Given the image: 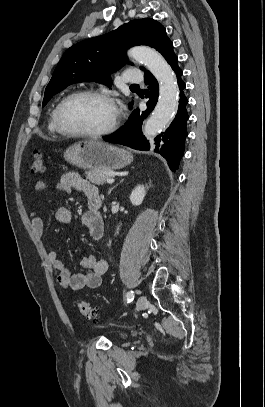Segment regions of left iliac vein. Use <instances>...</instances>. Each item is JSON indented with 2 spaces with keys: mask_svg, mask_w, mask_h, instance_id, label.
Instances as JSON below:
<instances>
[{
  "mask_svg": "<svg viewBox=\"0 0 265 407\" xmlns=\"http://www.w3.org/2000/svg\"><path fill=\"white\" fill-rule=\"evenodd\" d=\"M146 306H147L146 297L144 295L139 296L136 301L135 311L139 312V311L145 309Z\"/></svg>",
  "mask_w": 265,
  "mask_h": 407,
  "instance_id": "obj_1",
  "label": "left iliac vein"
}]
</instances>
